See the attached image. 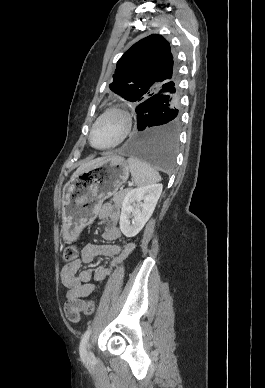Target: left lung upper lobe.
I'll use <instances>...</instances> for the list:
<instances>
[{"label":"left lung upper lobe","mask_w":265,"mask_h":388,"mask_svg":"<svg viewBox=\"0 0 265 388\" xmlns=\"http://www.w3.org/2000/svg\"><path fill=\"white\" fill-rule=\"evenodd\" d=\"M172 82H178V71L169 42L161 35L152 34L123 54L109 87L138 106L152 100Z\"/></svg>","instance_id":"obj_1"}]
</instances>
